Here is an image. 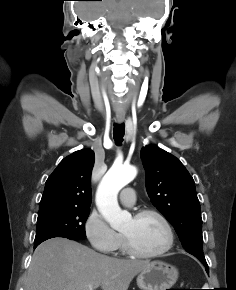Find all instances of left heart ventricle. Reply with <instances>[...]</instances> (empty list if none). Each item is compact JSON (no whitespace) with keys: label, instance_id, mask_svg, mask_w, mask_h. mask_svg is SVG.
I'll list each match as a JSON object with an SVG mask.
<instances>
[{"label":"left heart ventricle","instance_id":"1","mask_svg":"<svg viewBox=\"0 0 236 290\" xmlns=\"http://www.w3.org/2000/svg\"><path fill=\"white\" fill-rule=\"evenodd\" d=\"M132 245L139 251L152 253L160 250L167 241V233L162 223L154 216L139 219L132 217L122 230Z\"/></svg>","mask_w":236,"mask_h":290}]
</instances>
